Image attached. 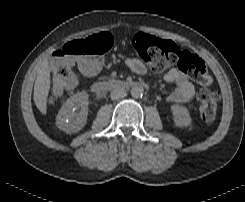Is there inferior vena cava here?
<instances>
[{"label":"inferior vena cava","instance_id":"602c4592","mask_svg":"<svg viewBox=\"0 0 245 202\" xmlns=\"http://www.w3.org/2000/svg\"><path fill=\"white\" fill-rule=\"evenodd\" d=\"M127 95V92L123 88H116L111 92V99L112 100H119L124 98Z\"/></svg>","mask_w":245,"mask_h":202}]
</instances>
